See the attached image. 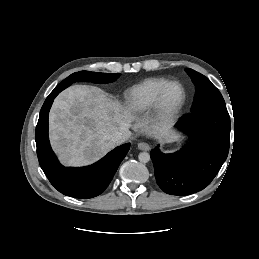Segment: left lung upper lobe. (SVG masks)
<instances>
[{"mask_svg": "<svg viewBox=\"0 0 259 259\" xmlns=\"http://www.w3.org/2000/svg\"><path fill=\"white\" fill-rule=\"evenodd\" d=\"M187 72L196 86L192 112L205 108L226 107L221 93L207 77L190 68L187 69Z\"/></svg>", "mask_w": 259, "mask_h": 259, "instance_id": "obj_1", "label": "left lung upper lobe"}]
</instances>
